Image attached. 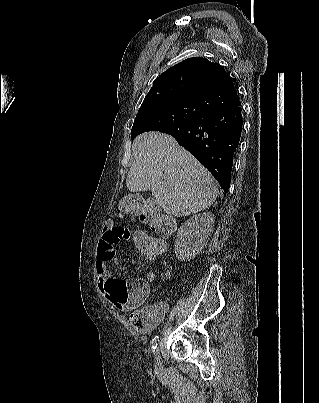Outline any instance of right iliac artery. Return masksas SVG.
<instances>
[{
  "label": "right iliac artery",
  "instance_id": "right-iliac-artery-1",
  "mask_svg": "<svg viewBox=\"0 0 319 403\" xmlns=\"http://www.w3.org/2000/svg\"><path fill=\"white\" fill-rule=\"evenodd\" d=\"M158 342H159V336L156 335V336L153 338L152 342H151V348H152V352H153V353H155V350L157 349Z\"/></svg>",
  "mask_w": 319,
  "mask_h": 403
}]
</instances>
